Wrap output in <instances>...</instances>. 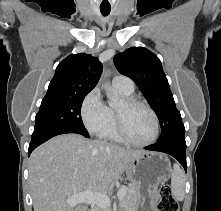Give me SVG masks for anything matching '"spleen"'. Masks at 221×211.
I'll return each instance as SVG.
<instances>
[{"label": "spleen", "mask_w": 221, "mask_h": 211, "mask_svg": "<svg viewBox=\"0 0 221 211\" xmlns=\"http://www.w3.org/2000/svg\"><path fill=\"white\" fill-rule=\"evenodd\" d=\"M171 192L177 201H182L185 197V174L178 164L173 166Z\"/></svg>", "instance_id": "spleen-1"}]
</instances>
